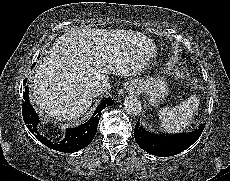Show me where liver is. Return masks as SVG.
<instances>
[{"mask_svg":"<svg viewBox=\"0 0 230 181\" xmlns=\"http://www.w3.org/2000/svg\"><path fill=\"white\" fill-rule=\"evenodd\" d=\"M155 46L144 35L121 30L78 29L59 37L35 68L32 99L56 122H75L89 110L95 83L111 75L145 70Z\"/></svg>","mask_w":230,"mask_h":181,"instance_id":"1","label":"liver"}]
</instances>
